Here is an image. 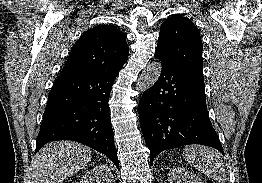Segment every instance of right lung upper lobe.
Listing matches in <instances>:
<instances>
[{"mask_svg":"<svg viewBox=\"0 0 262 183\" xmlns=\"http://www.w3.org/2000/svg\"><path fill=\"white\" fill-rule=\"evenodd\" d=\"M126 36L112 25L87 30L72 47L61 75L117 71L127 61Z\"/></svg>","mask_w":262,"mask_h":183,"instance_id":"1","label":"right lung upper lobe"}]
</instances>
